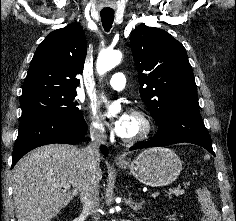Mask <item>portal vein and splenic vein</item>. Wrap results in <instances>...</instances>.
Returning <instances> with one entry per match:
<instances>
[{"mask_svg":"<svg viewBox=\"0 0 236 221\" xmlns=\"http://www.w3.org/2000/svg\"><path fill=\"white\" fill-rule=\"evenodd\" d=\"M62 187H63L64 189H69L71 186H70V185H62ZM159 194H160V192H159V191H156V192H154V193L151 194V197H152V198H155V197L159 196Z\"/></svg>","mask_w":236,"mask_h":221,"instance_id":"18ae733b","label":"portal vein and splenic vein"}]
</instances>
